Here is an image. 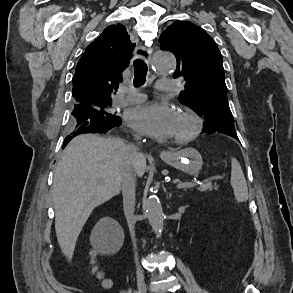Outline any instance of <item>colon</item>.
Masks as SVG:
<instances>
[{
	"label": "colon",
	"mask_w": 293,
	"mask_h": 293,
	"mask_svg": "<svg viewBox=\"0 0 293 293\" xmlns=\"http://www.w3.org/2000/svg\"><path fill=\"white\" fill-rule=\"evenodd\" d=\"M91 271L97 275L98 277H101V273L97 270L95 266H91Z\"/></svg>",
	"instance_id": "obj_1"
}]
</instances>
